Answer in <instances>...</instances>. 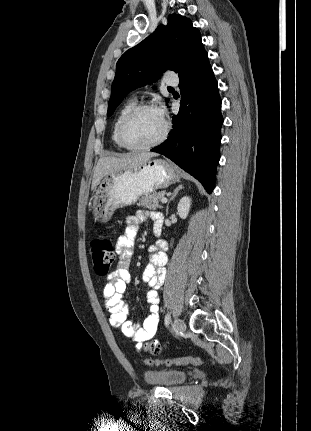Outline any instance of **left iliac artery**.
<instances>
[{
	"mask_svg": "<svg viewBox=\"0 0 311 431\" xmlns=\"http://www.w3.org/2000/svg\"><path fill=\"white\" fill-rule=\"evenodd\" d=\"M170 321H171V316L169 313H167L164 319V324L166 327L169 325Z\"/></svg>",
	"mask_w": 311,
	"mask_h": 431,
	"instance_id": "left-iliac-artery-1",
	"label": "left iliac artery"
}]
</instances>
